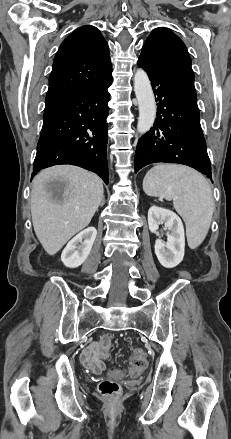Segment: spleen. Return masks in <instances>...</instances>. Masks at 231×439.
Instances as JSON below:
<instances>
[{"mask_svg":"<svg viewBox=\"0 0 231 439\" xmlns=\"http://www.w3.org/2000/svg\"><path fill=\"white\" fill-rule=\"evenodd\" d=\"M143 190L149 196L173 200L175 210L186 224L190 248L203 242L214 210L212 191L203 175L189 167L160 164L145 175Z\"/></svg>","mask_w":231,"mask_h":439,"instance_id":"1","label":"spleen"}]
</instances>
